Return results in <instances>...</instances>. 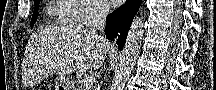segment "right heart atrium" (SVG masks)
<instances>
[{"instance_id":"d8ad5b80","label":"right heart atrium","mask_w":216,"mask_h":90,"mask_svg":"<svg viewBox=\"0 0 216 90\" xmlns=\"http://www.w3.org/2000/svg\"><path fill=\"white\" fill-rule=\"evenodd\" d=\"M67 3H74L75 6H83V11L79 15V20H97L104 10L94 0H66Z\"/></svg>"}]
</instances>
